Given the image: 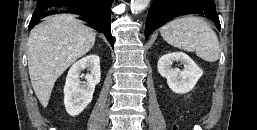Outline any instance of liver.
<instances>
[{"instance_id":"liver-1","label":"liver","mask_w":257,"mask_h":130,"mask_svg":"<svg viewBox=\"0 0 257 130\" xmlns=\"http://www.w3.org/2000/svg\"><path fill=\"white\" fill-rule=\"evenodd\" d=\"M96 33L70 14L46 18L30 33L28 69L34 92L45 108L56 80L93 47Z\"/></svg>"}]
</instances>
